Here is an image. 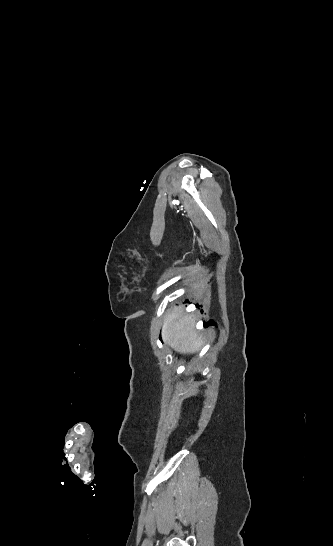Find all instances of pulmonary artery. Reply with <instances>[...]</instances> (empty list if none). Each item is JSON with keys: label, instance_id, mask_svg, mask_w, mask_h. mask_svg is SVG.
I'll list each match as a JSON object with an SVG mask.
<instances>
[{"label": "pulmonary artery", "instance_id": "1", "mask_svg": "<svg viewBox=\"0 0 333 546\" xmlns=\"http://www.w3.org/2000/svg\"><path fill=\"white\" fill-rule=\"evenodd\" d=\"M273 14H282L281 12H276V13H273Z\"/></svg>", "mask_w": 333, "mask_h": 546}]
</instances>
